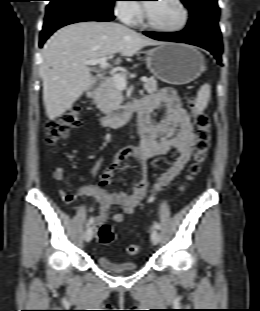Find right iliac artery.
I'll use <instances>...</instances> for the list:
<instances>
[{
  "mask_svg": "<svg viewBox=\"0 0 260 311\" xmlns=\"http://www.w3.org/2000/svg\"><path fill=\"white\" fill-rule=\"evenodd\" d=\"M93 223V218L91 217L87 223V227H89Z\"/></svg>",
  "mask_w": 260,
  "mask_h": 311,
  "instance_id": "82829eb1",
  "label": "right iliac artery"
}]
</instances>
